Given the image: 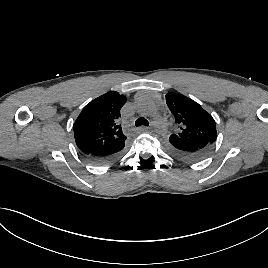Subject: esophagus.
<instances>
[{
  "mask_svg": "<svg viewBox=\"0 0 268 268\" xmlns=\"http://www.w3.org/2000/svg\"><path fill=\"white\" fill-rule=\"evenodd\" d=\"M142 129H143V130H146V129H148V127H142Z\"/></svg>",
  "mask_w": 268,
  "mask_h": 268,
  "instance_id": "obj_1",
  "label": "esophagus"
}]
</instances>
